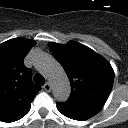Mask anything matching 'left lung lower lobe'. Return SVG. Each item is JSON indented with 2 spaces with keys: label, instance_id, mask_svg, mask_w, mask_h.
Here are the masks:
<instances>
[{
  "label": "left lung lower lobe",
  "instance_id": "obj_1",
  "mask_svg": "<svg viewBox=\"0 0 128 128\" xmlns=\"http://www.w3.org/2000/svg\"><path fill=\"white\" fill-rule=\"evenodd\" d=\"M58 110L74 120H86L98 113L101 107L72 102L57 103Z\"/></svg>",
  "mask_w": 128,
  "mask_h": 128
}]
</instances>
